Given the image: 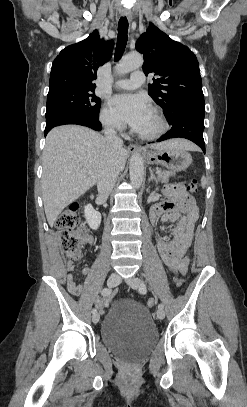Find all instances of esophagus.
Returning a JSON list of instances; mask_svg holds the SVG:
<instances>
[{"mask_svg": "<svg viewBox=\"0 0 247 407\" xmlns=\"http://www.w3.org/2000/svg\"><path fill=\"white\" fill-rule=\"evenodd\" d=\"M121 15L124 16V17H127L129 20H131V14H130L129 11H127V10H122V11H121ZM141 149H142V148H141L140 146L136 145V144H130V145L128 146V150H129V151H138V150H141Z\"/></svg>", "mask_w": 247, "mask_h": 407, "instance_id": "obj_1", "label": "esophagus"}]
</instances>
